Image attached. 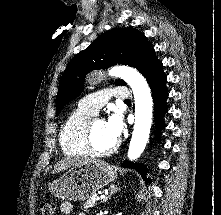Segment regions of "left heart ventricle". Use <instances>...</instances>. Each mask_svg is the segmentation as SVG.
I'll return each mask as SVG.
<instances>
[{
	"mask_svg": "<svg viewBox=\"0 0 221 215\" xmlns=\"http://www.w3.org/2000/svg\"><path fill=\"white\" fill-rule=\"evenodd\" d=\"M93 142L101 150L111 147L116 142L108 134L103 120H96L93 124Z\"/></svg>",
	"mask_w": 221,
	"mask_h": 215,
	"instance_id": "left-heart-ventricle-1",
	"label": "left heart ventricle"
}]
</instances>
